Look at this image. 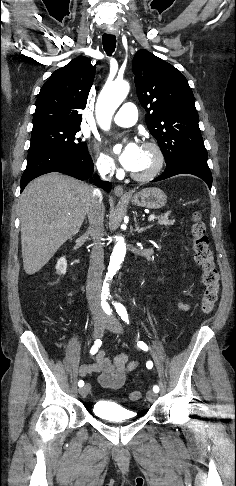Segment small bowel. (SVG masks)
I'll return each mask as SVG.
<instances>
[{
  "label": "small bowel",
  "mask_w": 236,
  "mask_h": 486,
  "mask_svg": "<svg viewBox=\"0 0 236 486\" xmlns=\"http://www.w3.org/2000/svg\"><path fill=\"white\" fill-rule=\"evenodd\" d=\"M72 293L71 291L66 293L68 299H70ZM178 308L185 311L189 309V306L180 302ZM136 366L137 362L130 361L127 353H121L112 360L101 351L96 355L94 363L81 365L79 373L81 376L99 373L98 381L100 385L109 389H119L124 384L127 373Z\"/></svg>",
  "instance_id": "1"
}]
</instances>
